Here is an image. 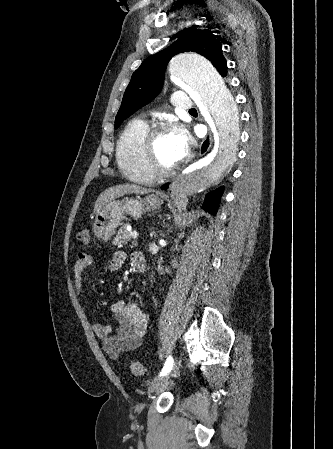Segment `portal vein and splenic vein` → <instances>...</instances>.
Wrapping results in <instances>:
<instances>
[{"instance_id":"18ae733b","label":"portal vein and splenic vein","mask_w":333,"mask_h":449,"mask_svg":"<svg viewBox=\"0 0 333 449\" xmlns=\"http://www.w3.org/2000/svg\"><path fill=\"white\" fill-rule=\"evenodd\" d=\"M138 236H139L138 232H136V231L131 232V237H132L133 239H137Z\"/></svg>"}]
</instances>
